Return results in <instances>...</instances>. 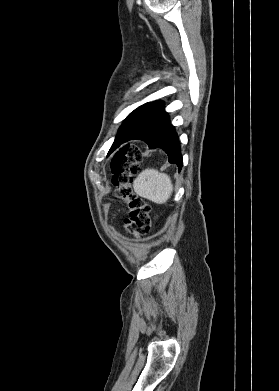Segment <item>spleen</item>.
<instances>
[{
    "instance_id": "spleen-1",
    "label": "spleen",
    "mask_w": 279,
    "mask_h": 391,
    "mask_svg": "<svg viewBox=\"0 0 279 391\" xmlns=\"http://www.w3.org/2000/svg\"><path fill=\"white\" fill-rule=\"evenodd\" d=\"M133 188L137 195L157 204L165 203L173 192L170 177L155 169L143 170L134 180Z\"/></svg>"
}]
</instances>
